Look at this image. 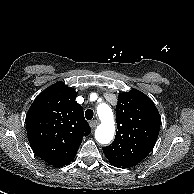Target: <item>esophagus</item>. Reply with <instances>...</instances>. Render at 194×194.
<instances>
[{
    "label": "esophagus",
    "instance_id": "1",
    "mask_svg": "<svg viewBox=\"0 0 194 194\" xmlns=\"http://www.w3.org/2000/svg\"><path fill=\"white\" fill-rule=\"evenodd\" d=\"M89 124H90V127H91L92 129H94V128L98 125V121H97V120H93V121H91Z\"/></svg>",
    "mask_w": 194,
    "mask_h": 194
}]
</instances>
